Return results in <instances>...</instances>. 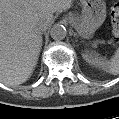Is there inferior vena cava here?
Wrapping results in <instances>:
<instances>
[{
  "instance_id": "602c4592",
  "label": "inferior vena cava",
  "mask_w": 119,
  "mask_h": 119,
  "mask_svg": "<svg viewBox=\"0 0 119 119\" xmlns=\"http://www.w3.org/2000/svg\"><path fill=\"white\" fill-rule=\"evenodd\" d=\"M46 28H47V26H45V25H43V24H41V25H39L38 27H37V32L38 33H42V32H44L45 30H46Z\"/></svg>"
}]
</instances>
